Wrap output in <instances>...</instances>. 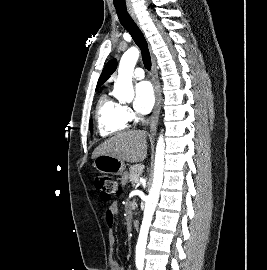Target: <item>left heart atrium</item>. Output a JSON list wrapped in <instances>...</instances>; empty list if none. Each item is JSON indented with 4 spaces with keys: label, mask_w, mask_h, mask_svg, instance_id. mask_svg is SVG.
I'll return each mask as SVG.
<instances>
[{
    "label": "left heart atrium",
    "mask_w": 267,
    "mask_h": 270,
    "mask_svg": "<svg viewBox=\"0 0 267 270\" xmlns=\"http://www.w3.org/2000/svg\"><path fill=\"white\" fill-rule=\"evenodd\" d=\"M155 102L153 86L148 81H141L135 86L134 108L138 113L146 114L151 111Z\"/></svg>",
    "instance_id": "obj_1"
}]
</instances>
